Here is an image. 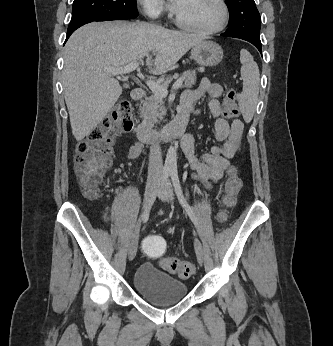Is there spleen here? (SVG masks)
I'll list each match as a JSON object with an SVG mask.
<instances>
[{"instance_id": "obj_1", "label": "spleen", "mask_w": 333, "mask_h": 346, "mask_svg": "<svg viewBox=\"0 0 333 346\" xmlns=\"http://www.w3.org/2000/svg\"><path fill=\"white\" fill-rule=\"evenodd\" d=\"M241 76L243 90L237 96L239 108L246 122L252 120L258 101L260 73L252 55L246 50L240 51Z\"/></svg>"}]
</instances>
